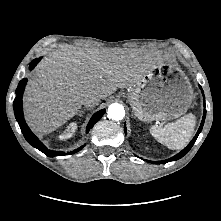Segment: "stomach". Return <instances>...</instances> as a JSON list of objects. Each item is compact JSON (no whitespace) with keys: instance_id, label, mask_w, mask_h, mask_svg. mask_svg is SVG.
Returning <instances> with one entry per match:
<instances>
[{"instance_id":"stomach-1","label":"stomach","mask_w":221,"mask_h":221,"mask_svg":"<svg viewBox=\"0 0 221 221\" xmlns=\"http://www.w3.org/2000/svg\"><path fill=\"white\" fill-rule=\"evenodd\" d=\"M192 98L186 75L167 64L149 71L128 93L135 116L144 122L176 119L188 110Z\"/></svg>"}]
</instances>
